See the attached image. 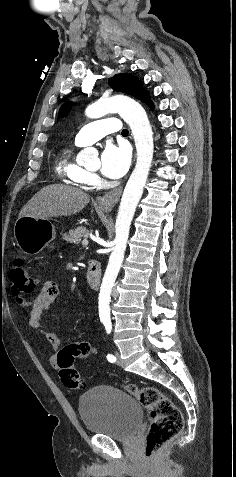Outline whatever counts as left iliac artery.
<instances>
[{
	"mask_svg": "<svg viewBox=\"0 0 236 477\" xmlns=\"http://www.w3.org/2000/svg\"><path fill=\"white\" fill-rule=\"evenodd\" d=\"M104 326H105V329H106L107 333L110 334L111 329H112L111 323L110 322H104ZM107 360L109 362L113 363V362L116 361V357L112 354H108L107 355Z\"/></svg>",
	"mask_w": 236,
	"mask_h": 477,
	"instance_id": "left-iliac-artery-1",
	"label": "left iliac artery"
}]
</instances>
